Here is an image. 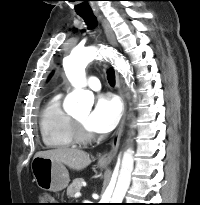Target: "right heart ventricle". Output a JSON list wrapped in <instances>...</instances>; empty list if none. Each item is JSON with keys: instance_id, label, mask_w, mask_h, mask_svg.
<instances>
[{"instance_id": "1", "label": "right heart ventricle", "mask_w": 200, "mask_h": 205, "mask_svg": "<svg viewBox=\"0 0 200 205\" xmlns=\"http://www.w3.org/2000/svg\"><path fill=\"white\" fill-rule=\"evenodd\" d=\"M39 126L42 141L48 148H69L75 143L71 117L61 107V94L46 102L40 113Z\"/></svg>"}]
</instances>
